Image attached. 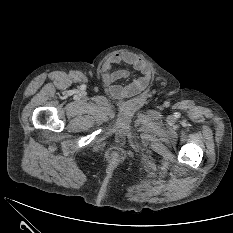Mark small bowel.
I'll return each mask as SVG.
<instances>
[{"instance_id":"small-bowel-1","label":"small bowel","mask_w":233,"mask_h":233,"mask_svg":"<svg viewBox=\"0 0 233 233\" xmlns=\"http://www.w3.org/2000/svg\"><path fill=\"white\" fill-rule=\"evenodd\" d=\"M126 64L140 72V76L127 85H119L117 81L129 76L125 69H113L114 65ZM101 77L109 93L117 99L133 97L142 92L149 84L151 72L147 64L139 57L130 53H116L110 55L102 65Z\"/></svg>"}]
</instances>
